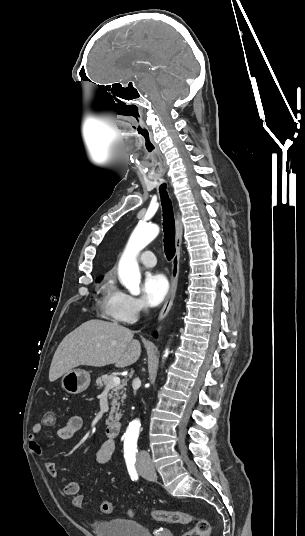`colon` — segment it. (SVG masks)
<instances>
[{
	"mask_svg": "<svg viewBox=\"0 0 305 536\" xmlns=\"http://www.w3.org/2000/svg\"><path fill=\"white\" fill-rule=\"evenodd\" d=\"M54 419V412L49 411L45 416L46 423H52ZM86 494L79 492L77 495L71 498V505L79 512L84 513L83 505L85 504ZM101 511L106 514L113 513V503L110 500H102L100 504ZM129 515L134 514L133 510H129ZM150 516L157 521H164L174 524H190L194 523V526L190 531L186 532L184 536H211V526L209 522L197 515L185 512H168L158 510L154 508L149 509Z\"/></svg>",
	"mask_w": 305,
	"mask_h": 536,
	"instance_id": "obj_1",
	"label": "colon"
}]
</instances>
